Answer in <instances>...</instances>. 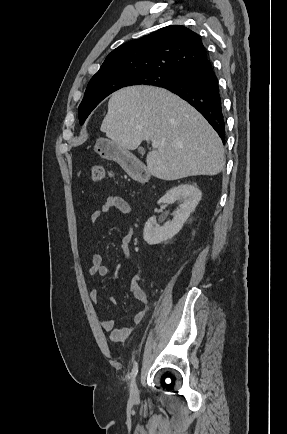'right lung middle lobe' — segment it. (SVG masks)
<instances>
[{
	"label": "right lung middle lobe",
	"mask_w": 287,
	"mask_h": 434,
	"mask_svg": "<svg viewBox=\"0 0 287 434\" xmlns=\"http://www.w3.org/2000/svg\"><path fill=\"white\" fill-rule=\"evenodd\" d=\"M179 78L180 75L150 72L138 76H114L90 81L78 108L80 123H84L88 115L104 98L120 88L140 84L165 88L174 84Z\"/></svg>",
	"instance_id": "obj_1"
}]
</instances>
